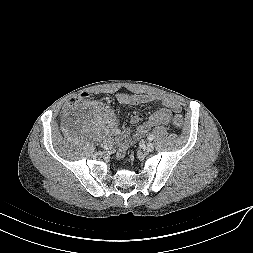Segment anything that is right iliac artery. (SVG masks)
Masks as SVG:
<instances>
[{"mask_svg": "<svg viewBox=\"0 0 253 253\" xmlns=\"http://www.w3.org/2000/svg\"><path fill=\"white\" fill-rule=\"evenodd\" d=\"M120 133H121V130L117 128V125H115V127H113L111 130V134L113 135H119Z\"/></svg>", "mask_w": 253, "mask_h": 253, "instance_id": "82829eb1", "label": "right iliac artery"}]
</instances>
